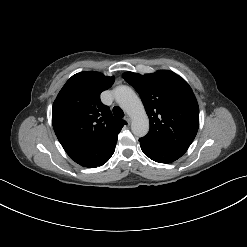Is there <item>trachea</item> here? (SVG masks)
Instances as JSON below:
<instances>
[{"instance_id":"3493384b","label":"trachea","mask_w":247,"mask_h":247,"mask_svg":"<svg viewBox=\"0 0 247 247\" xmlns=\"http://www.w3.org/2000/svg\"><path fill=\"white\" fill-rule=\"evenodd\" d=\"M113 114L118 117V118H123L124 117V112L122 109L118 106L113 107Z\"/></svg>"}]
</instances>
